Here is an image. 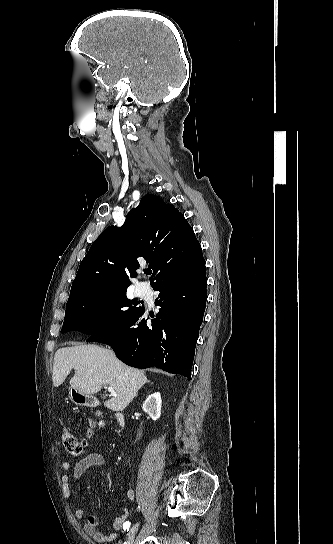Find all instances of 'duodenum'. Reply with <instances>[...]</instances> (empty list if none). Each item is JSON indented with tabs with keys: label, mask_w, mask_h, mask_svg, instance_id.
Segmentation results:
<instances>
[{
	"label": "duodenum",
	"mask_w": 333,
	"mask_h": 544,
	"mask_svg": "<svg viewBox=\"0 0 333 544\" xmlns=\"http://www.w3.org/2000/svg\"><path fill=\"white\" fill-rule=\"evenodd\" d=\"M78 402L82 403L83 405H87V406H96L97 405L96 399H94L91 396L79 395ZM116 419H117L119 425L123 428L124 425H125V420H124L123 414L119 413V412L116 413Z\"/></svg>",
	"instance_id": "1"
}]
</instances>
